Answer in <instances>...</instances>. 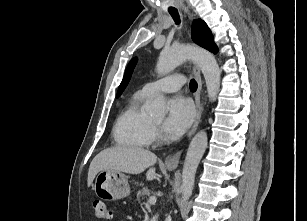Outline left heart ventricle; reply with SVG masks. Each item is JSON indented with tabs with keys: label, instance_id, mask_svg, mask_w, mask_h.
Wrapping results in <instances>:
<instances>
[{
	"label": "left heart ventricle",
	"instance_id": "obj_1",
	"mask_svg": "<svg viewBox=\"0 0 307 221\" xmlns=\"http://www.w3.org/2000/svg\"><path fill=\"white\" fill-rule=\"evenodd\" d=\"M155 121H156L157 123H161V122H162V118H155Z\"/></svg>",
	"mask_w": 307,
	"mask_h": 221
}]
</instances>
